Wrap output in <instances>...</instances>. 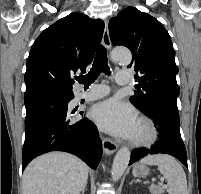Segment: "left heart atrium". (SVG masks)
I'll list each match as a JSON object with an SVG mask.
<instances>
[{"mask_svg":"<svg viewBox=\"0 0 201 194\" xmlns=\"http://www.w3.org/2000/svg\"><path fill=\"white\" fill-rule=\"evenodd\" d=\"M91 116L102 130L124 138H133L138 125L133 108L114 98L96 104Z\"/></svg>","mask_w":201,"mask_h":194,"instance_id":"39dd6f15","label":"left heart atrium"}]
</instances>
